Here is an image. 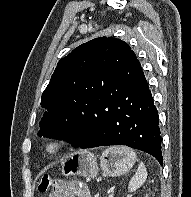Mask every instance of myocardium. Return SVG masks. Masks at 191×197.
I'll use <instances>...</instances> for the list:
<instances>
[{
	"mask_svg": "<svg viewBox=\"0 0 191 197\" xmlns=\"http://www.w3.org/2000/svg\"><path fill=\"white\" fill-rule=\"evenodd\" d=\"M67 146V142L60 136H51L45 139L42 143V154L48 158L53 159L60 155Z\"/></svg>",
	"mask_w": 191,
	"mask_h": 197,
	"instance_id": "f54148a6",
	"label": "myocardium"
}]
</instances>
